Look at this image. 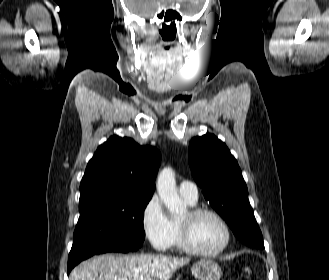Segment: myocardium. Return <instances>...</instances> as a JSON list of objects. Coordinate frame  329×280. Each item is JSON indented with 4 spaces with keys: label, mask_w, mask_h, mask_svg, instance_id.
I'll return each mask as SVG.
<instances>
[{
    "label": "myocardium",
    "mask_w": 329,
    "mask_h": 280,
    "mask_svg": "<svg viewBox=\"0 0 329 280\" xmlns=\"http://www.w3.org/2000/svg\"><path fill=\"white\" fill-rule=\"evenodd\" d=\"M202 215H209L214 217L223 227L225 232V239L223 244L213 251H205L200 248H198L192 240L191 235V225L192 222L202 216ZM179 234H180V242L182 248L195 256L200 257H216L220 254H222L230 245L232 240V232L231 229L227 223V221L224 219V217L217 212L216 210H213L211 208L206 207H191L186 212V217L183 220H179Z\"/></svg>",
    "instance_id": "obj_1"
}]
</instances>
